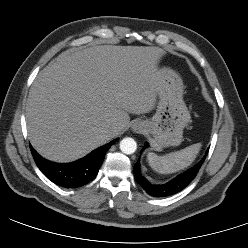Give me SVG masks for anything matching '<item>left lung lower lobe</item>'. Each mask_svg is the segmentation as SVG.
<instances>
[{"label": "left lung lower lobe", "instance_id": "obj_1", "mask_svg": "<svg viewBox=\"0 0 248 248\" xmlns=\"http://www.w3.org/2000/svg\"><path fill=\"white\" fill-rule=\"evenodd\" d=\"M148 147V143L145 144ZM206 155L192 168L173 178L165 184H151L140 171L139 160L134 165V177L136 182L153 197H166L176 194L187 187L190 182L196 177L199 169L206 159Z\"/></svg>", "mask_w": 248, "mask_h": 248}]
</instances>
